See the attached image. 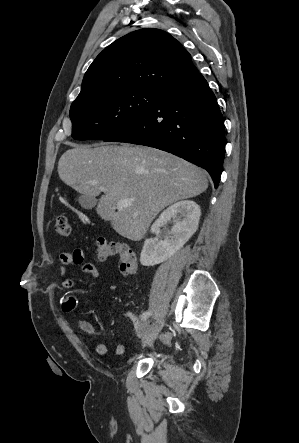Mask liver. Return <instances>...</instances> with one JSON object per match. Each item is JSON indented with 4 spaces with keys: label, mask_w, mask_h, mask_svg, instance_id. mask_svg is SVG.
<instances>
[{
    "label": "liver",
    "mask_w": 299,
    "mask_h": 443,
    "mask_svg": "<svg viewBox=\"0 0 299 443\" xmlns=\"http://www.w3.org/2000/svg\"><path fill=\"white\" fill-rule=\"evenodd\" d=\"M60 179L77 192L94 197L105 188L96 212L121 236L138 241L165 207L203 193L205 172L167 152L140 146H78L59 159ZM132 205L118 209L121 199Z\"/></svg>",
    "instance_id": "obj_1"
}]
</instances>
